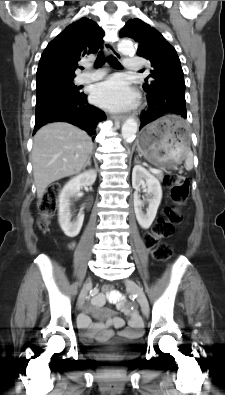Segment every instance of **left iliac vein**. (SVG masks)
<instances>
[{"instance_id": "1", "label": "left iliac vein", "mask_w": 225, "mask_h": 395, "mask_svg": "<svg viewBox=\"0 0 225 395\" xmlns=\"http://www.w3.org/2000/svg\"><path fill=\"white\" fill-rule=\"evenodd\" d=\"M125 285L128 290L136 296L138 303L140 304L141 310L145 316L149 313V303L147 300L146 295L144 294L143 290L140 286L134 282L133 280L127 279L125 281Z\"/></svg>"}]
</instances>
